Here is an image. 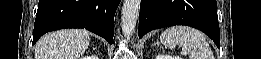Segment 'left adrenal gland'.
Masks as SVG:
<instances>
[{"label": "left adrenal gland", "instance_id": "a2214340", "mask_svg": "<svg viewBox=\"0 0 261 59\" xmlns=\"http://www.w3.org/2000/svg\"><path fill=\"white\" fill-rule=\"evenodd\" d=\"M153 46H160V47H162V45L160 44V42H158V40L153 44Z\"/></svg>", "mask_w": 261, "mask_h": 59}]
</instances>
